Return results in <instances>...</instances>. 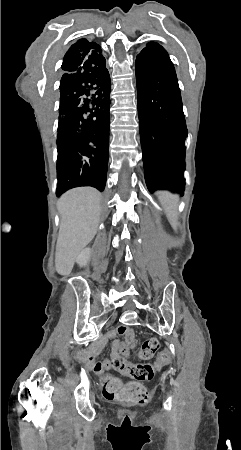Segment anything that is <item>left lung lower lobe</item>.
<instances>
[{
	"mask_svg": "<svg viewBox=\"0 0 241 450\" xmlns=\"http://www.w3.org/2000/svg\"><path fill=\"white\" fill-rule=\"evenodd\" d=\"M135 67L147 188L183 195L187 127L175 68L160 45L146 46Z\"/></svg>",
	"mask_w": 241,
	"mask_h": 450,
	"instance_id": "obj_1",
	"label": "left lung lower lobe"
}]
</instances>
